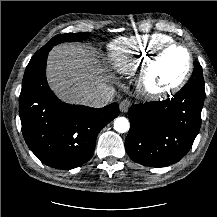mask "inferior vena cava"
I'll return each mask as SVG.
<instances>
[{"instance_id":"inferior-vena-cava-1","label":"inferior vena cava","mask_w":217,"mask_h":217,"mask_svg":"<svg viewBox=\"0 0 217 217\" xmlns=\"http://www.w3.org/2000/svg\"><path fill=\"white\" fill-rule=\"evenodd\" d=\"M115 95V89L112 87H98L84 97L85 105L93 108H101L112 102Z\"/></svg>"}]
</instances>
